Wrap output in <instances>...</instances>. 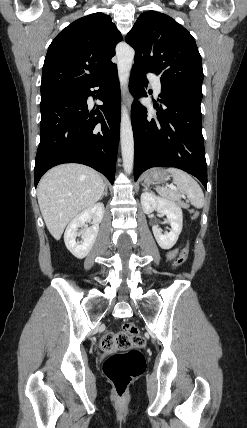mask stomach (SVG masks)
I'll list each match as a JSON object with an SVG mask.
<instances>
[{
    "label": "stomach",
    "mask_w": 247,
    "mask_h": 428,
    "mask_svg": "<svg viewBox=\"0 0 247 428\" xmlns=\"http://www.w3.org/2000/svg\"><path fill=\"white\" fill-rule=\"evenodd\" d=\"M168 179V175L166 170L164 169H153L149 171L145 177V183H154V182H161Z\"/></svg>",
    "instance_id": "obj_1"
}]
</instances>
